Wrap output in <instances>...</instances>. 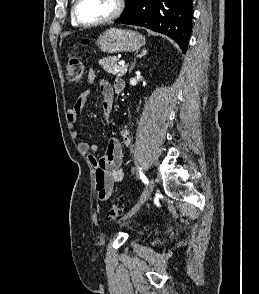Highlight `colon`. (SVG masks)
<instances>
[{
    "label": "colon",
    "instance_id": "1",
    "mask_svg": "<svg viewBox=\"0 0 259 294\" xmlns=\"http://www.w3.org/2000/svg\"><path fill=\"white\" fill-rule=\"evenodd\" d=\"M88 43L87 40H83L82 44ZM66 78L70 82H81L84 78V66L81 60L74 54H70L66 63L65 70ZM123 208L122 199H116L107 212L108 221H116L121 215Z\"/></svg>",
    "mask_w": 259,
    "mask_h": 294
}]
</instances>
